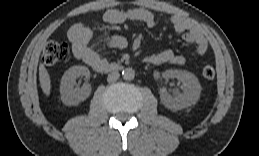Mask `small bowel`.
Listing matches in <instances>:
<instances>
[{"mask_svg":"<svg viewBox=\"0 0 259 156\" xmlns=\"http://www.w3.org/2000/svg\"><path fill=\"white\" fill-rule=\"evenodd\" d=\"M103 20L111 25L127 21H138L143 22L149 29L155 28L159 24V19L151 11L144 8L108 9L103 15ZM170 23L173 30L183 35L184 41L193 48L198 56L207 55V39L193 22L183 17L172 16ZM67 36L72 43L75 57L83 60L94 69H97L100 65L107 64L99 51L100 44L105 43L113 48H122L126 45L125 39L121 36H95L89 27L80 23L73 25L68 30ZM145 61L153 65H183L187 59L185 56L177 54L172 50H164L146 56Z\"/></svg>","mask_w":259,"mask_h":156,"instance_id":"c3829d8e","label":"small bowel"}]
</instances>
